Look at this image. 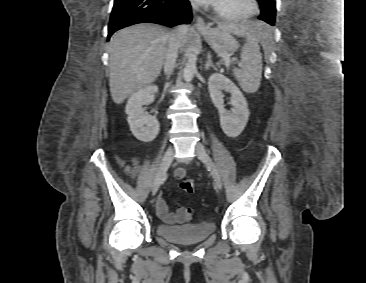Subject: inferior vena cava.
<instances>
[{"mask_svg": "<svg viewBox=\"0 0 366 283\" xmlns=\"http://www.w3.org/2000/svg\"><path fill=\"white\" fill-rule=\"evenodd\" d=\"M197 8V6H195ZM187 31L186 25H181L176 27L175 30L172 31L169 41L168 50L165 56L164 62V72L166 76L171 75L174 70L176 59L178 56V50L181 46L182 39L184 37L185 32Z\"/></svg>", "mask_w": 366, "mask_h": 283, "instance_id": "602c4592", "label": "inferior vena cava"}]
</instances>
